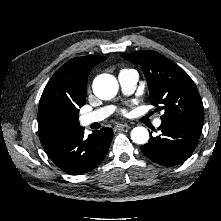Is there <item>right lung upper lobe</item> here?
Listing matches in <instances>:
<instances>
[{"instance_id": "cb5924a9", "label": "right lung upper lobe", "mask_w": 221, "mask_h": 221, "mask_svg": "<svg viewBox=\"0 0 221 221\" xmlns=\"http://www.w3.org/2000/svg\"><path fill=\"white\" fill-rule=\"evenodd\" d=\"M103 56H84L70 59L47 83L39 101L38 134L46 149L80 126L75 112L85 104L88 75Z\"/></svg>"}]
</instances>
